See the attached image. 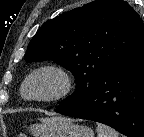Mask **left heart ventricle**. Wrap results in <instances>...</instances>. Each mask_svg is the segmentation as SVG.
I'll return each mask as SVG.
<instances>
[{"label":"left heart ventricle","mask_w":144,"mask_h":137,"mask_svg":"<svg viewBox=\"0 0 144 137\" xmlns=\"http://www.w3.org/2000/svg\"><path fill=\"white\" fill-rule=\"evenodd\" d=\"M59 86L60 82L55 75L40 74L28 83L25 94L29 97L48 96L56 92Z\"/></svg>","instance_id":"b2bd125f"}]
</instances>
